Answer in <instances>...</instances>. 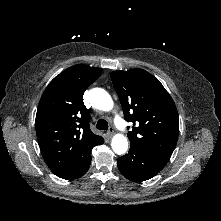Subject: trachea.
Returning a JSON list of instances; mask_svg holds the SVG:
<instances>
[{"label":"trachea","instance_id":"1","mask_svg":"<svg viewBox=\"0 0 221 221\" xmlns=\"http://www.w3.org/2000/svg\"><path fill=\"white\" fill-rule=\"evenodd\" d=\"M97 129L99 130H107L108 129V123L104 119H99L96 125Z\"/></svg>","mask_w":221,"mask_h":221}]
</instances>
